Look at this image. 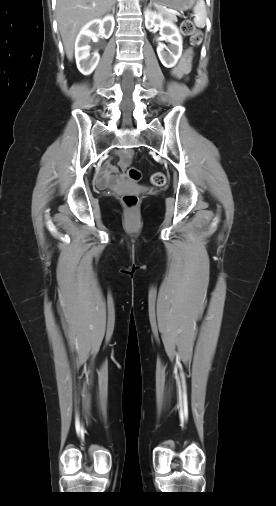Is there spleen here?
<instances>
[{
	"label": "spleen",
	"instance_id": "spleen-1",
	"mask_svg": "<svg viewBox=\"0 0 276 506\" xmlns=\"http://www.w3.org/2000/svg\"><path fill=\"white\" fill-rule=\"evenodd\" d=\"M193 11L195 25L199 28H204L206 24V6L204 0H198Z\"/></svg>",
	"mask_w": 276,
	"mask_h": 506
}]
</instances>
